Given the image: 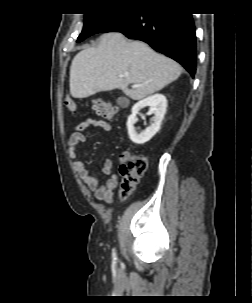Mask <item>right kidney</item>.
<instances>
[{"instance_id": "1", "label": "right kidney", "mask_w": 252, "mask_h": 303, "mask_svg": "<svg viewBox=\"0 0 252 303\" xmlns=\"http://www.w3.org/2000/svg\"><path fill=\"white\" fill-rule=\"evenodd\" d=\"M147 106L150 107L148 114H154L152 117V123L143 132L138 134L134 128V124L137 121L136 115L141 109ZM166 108L167 100L166 97L162 94H155L137 102L132 107V114L128 117L127 120V129L131 141L136 144H144L148 142L160 130L162 120L166 113Z\"/></svg>"}]
</instances>
